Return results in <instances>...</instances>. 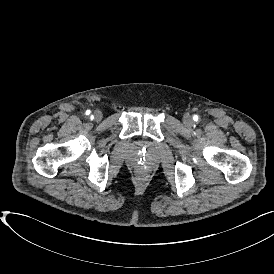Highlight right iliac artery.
Returning <instances> with one entry per match:
<instances>
[{
  "instance_id": "1",
  "label": "right iliac artery",
  "mask_w": 274,
  "mask_h": 274,
  "mask_svg": "<svg viewBox=\"0 0 274 274\" xmlns=\"http://www.w3.org/2000/svg\"><path fill=\"white\" fill-rule=\"evenodd\" d=\"M90 113H91L90 110H87V111H86V115H89Z\"/></svg>"
}]
</instances>
